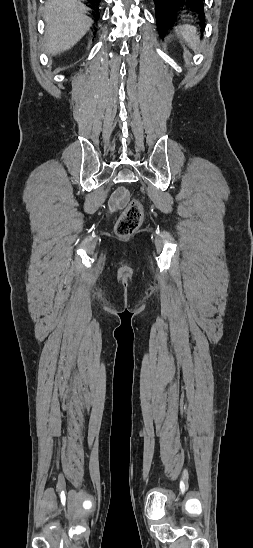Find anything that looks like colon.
<instances>
[{
    "mask_svg": "<svg viewBox=\"0 0 253 548\" xmlns=\"http://www.w3.org/2000/svg\"><path fill=\"white\" fill-rule=\"evenodd\" d=\"M144 218V210L140 201L131 200L115 225V232L120 237L131 236L141 225Z\"/></svg>",
    "mask_w": 253,
    "mask_h": 548,
    "instance_id": "5ec220e1",
    "label": "colon"
}]
</instances>
